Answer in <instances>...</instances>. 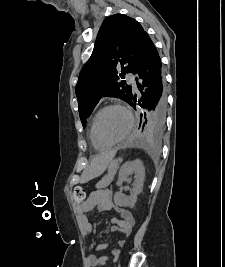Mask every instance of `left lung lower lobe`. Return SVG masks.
I'll list each match as a JSON object with an SVG mask.
<instances>
[{
    "instance_id": "obj_1",
    "label": "left lung lower lobe",
    "mask_w": 225,
    "mask_h": 267,
    "mask_svg": "<svg viewBox=\"0 0 225 267\" xmlns=\"http://www.w3.org/2000/svg\"><path fill=\"white\" fill-rule=\"evenodd\" d=\"M134 73H137L139 95L133 93L129 104L133 108L139 105L143 113L152 114L158 123L165 121V79L160 56L148 34L144 38Z\"/></svg>"
}]
</instances>
